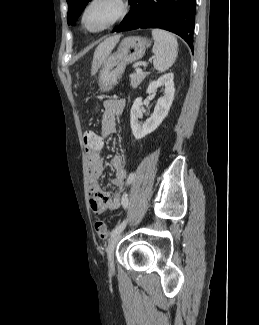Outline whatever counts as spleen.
<instances>
[{"mask_svg": "<svg viewBox=\"0 0 259 325\" xmlns=\"http://www.w3.org/2000/svg\"><path fill=\"white\" fill-rule=\"evenodd\" d=\"M153 66L159 72L168 70L176 60L178 54L177 39L162 29H153Z\"/></svg>", "mask_w": 259, "mask_h": 325, "instance_id": "obj_1", "label": "spleen"}]
</instances>
